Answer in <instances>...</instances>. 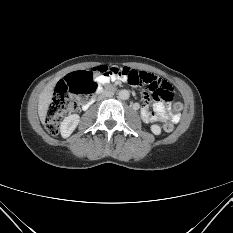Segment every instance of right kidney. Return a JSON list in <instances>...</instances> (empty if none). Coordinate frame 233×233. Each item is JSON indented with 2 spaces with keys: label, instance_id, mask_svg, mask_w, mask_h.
Segmentation results:
<instances>
[{
  "label": "right kidney",
  "instance_id": "right-kidney-1",
  "mask_svg": "<svg viewBox=\"0 0 233 233\" xmlns=\"http://www.w3.org/2000/svg\"><path fill=\"white\" fill-rule=\"evenodd\" d=\"M78 114H72L64 118L60 125V131L63 138L69 137L79 124Z\"/></svg>",
  "mask_w": 233,
  "mask_h": 233
}]
</instances>
